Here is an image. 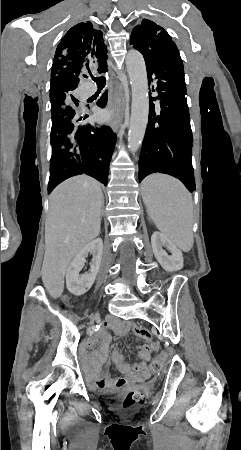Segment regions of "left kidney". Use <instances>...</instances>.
I'll return each instance as SVG.
<instances>
[{"instance_id":"left-kidney-1","label":"left kidney","mask_w":241,"mask_h":450,"mask_svg":"<svg viewBox=\"0 0 241 450\" xmlns=\"http://www.w3.org/2000/svg\"><path fill=\"white\" fill-rule=\"evenodd\" d=\"M151 246L153 254L163 270H166V272L182 270L184 262L182 252L172 244L167 236H164L161 232H154L151 236ZM164 246L172 256H168L167 252L163 250Z\"/></svg>"}]
</instances>
